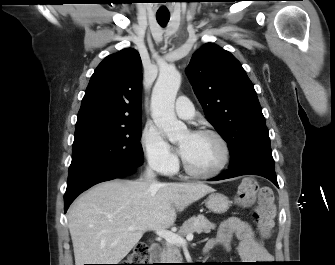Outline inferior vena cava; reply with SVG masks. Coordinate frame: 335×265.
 <instances>
[{
  "mask_svg": "<svg viewBox=\"0 0 335 265\" xmlns=\"http://www.w3.org/2000/svg\"><path fill=\"white\" fill-rule=\"evenodd\" d=\"M155 177L153 171H152V168L149 166L145 172V178L148 179V180H151ZM153 184L154 185H157L158 183L153 181Z\"/></svg>",
  "mask_w": 335,
  "mask_h": 265,
  "instance_id": "obj_1",
  "label": "inferior vena cava"
}]
</instances>
